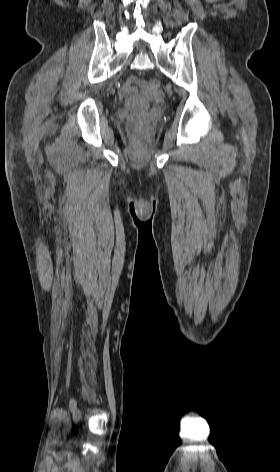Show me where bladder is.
<instances>
[{
    "label": "bladder",
    "instance_id": "bladder-1",
    "mask_svg": "<svg viewBox=\"0 0 280 472\" xmlns=\"http://www.w3.org/2000/svg\"><path fill=\"white\" fill-rule=\"evenodd\" d=\"M149 102L146 100H131L127 102L128 108L132 110H146L149 108Z\"/></svg>",
    "mask_w": 280,
    "mask_h": 472
}]
</instances>
